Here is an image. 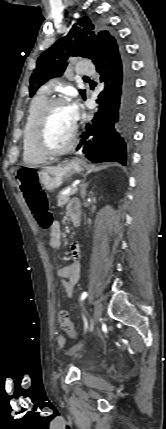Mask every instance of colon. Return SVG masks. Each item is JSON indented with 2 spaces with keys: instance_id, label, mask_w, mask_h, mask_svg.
Here are the masks:
<instances>
[{
  "instance_id": "colon-1",
  "label": "colon",
  "mask_w": 166,
  "mask_h": 429,
  "mask_svg": "<svg viewBox=\"0 0 166 429\" xmlns=\"http://www.w3.org/2000/svg\"><path fill=\"white\" fill-rule=\"evenodd\" d=\"M16 179L38 225L43 229L50 228L52 226V214L49 211L47 197L39 183L38 169L32 166L23 167L17 172ZM59 324L70 337L78 338V333L66 311L60 313Z\"/></svg>"
}]
</instances>
